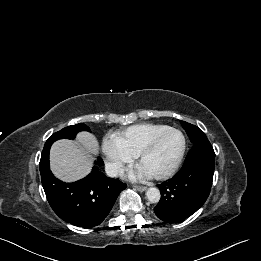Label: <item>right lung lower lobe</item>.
<instances>
[{
  "mask_svg": "<svg viewBox=\"0 0 261 261\" xmlns=\"http://www.w3.org/2000/svg\"><path fill=\"white\" fill-rule=\"evenodd\" d=\"M51 145L45 143L39 164L42 186L49 204L61 219L75 226L99 225L127 185L118 179L108 178L96 166L87 177L77 182L58 180L50 171ZM96 164L103 165L104 162L98 157Z\"/></svg>",
  "mask_w": 261,
  "mask_h": 261,
  "instance_id": "obj_1",
  "label": "right lung lower lobe"
}]
</instances>
